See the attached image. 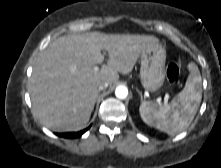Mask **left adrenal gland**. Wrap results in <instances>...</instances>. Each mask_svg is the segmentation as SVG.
I'll return each instance as SVG.
<instances>
[{"label":"left adrenal gland","instance_id":"1","mask_svg":"<svg viewBox=\"0 0 221 168\" xmlns=\"http://www.w3.org/2000/svg\"><path fill=\"white\" fill-rule=\"evenodd\" d=\"M137 91H138V93H139V95H140V97H141V101L144 102L141 92H140L139 90H137Z\"/></svg>","mask_w":221,"mask_h":168}]
</instances>
